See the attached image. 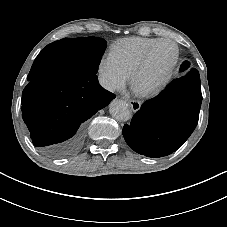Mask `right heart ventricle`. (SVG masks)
Instances as JSON below:
<instances>
[{
  "instance_id": "right-heart-ventricle-1",
  "label": "right heart ventricle",
  "mask_w": 227,
  "mask_h": 227,
  "mask_svg": "<svg viewBox=\"0 0 227 227\" xmlns=\"http://www.w3.org/2000/svg\"><path fill=\"white\" fill-rule=\"evenodd\" d=\"M157 40L159 38L136 36L119 39L111 46L109 57L129 75L147 49Z\"/></svg>"
}]
</instances>
